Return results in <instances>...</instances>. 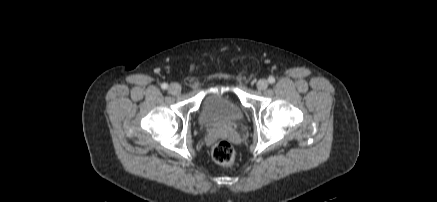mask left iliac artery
<instances>
[{"mask_svg":"<svg viewBox=\"0 0 437 202\" xmlns=\"http://www.w3.org/2000/svg\"><path fill=\"white\" fill-rule=\"evenodd\" d=\"M268 82L271 83V84H273V83L275 82V78H274L273 76H270V77L268 78Z\"/></svg>","mask_w":437,"mask_h":202,"instance_id":"1","label":"left iliac artery"}]
</instances>
